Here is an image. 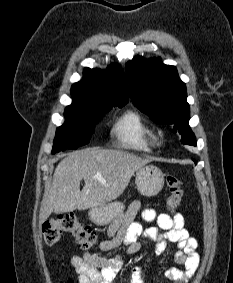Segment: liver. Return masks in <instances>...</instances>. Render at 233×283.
Here are the masks:
<instances>
[{
	"mask_svg": "<svg viewBox=\"0 0 233 283\" xmlns=\"http://www.w3.org/2000/svg\"><path fill=\"white\" fill-rule=\"evenodd\" d=\"M149 162L121 150L93 148L70 154L55 169L50 190L41 203L39 223L53 211L85 210L115 200L135 171ZM82 179L85 185L80 191Z\"/></svg>",
	"mask_w": 233,
	"mask_h": 283,
	"instance_id": "6515ba94",
	"label": "liver"
}]
</instances>
